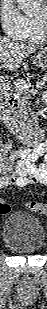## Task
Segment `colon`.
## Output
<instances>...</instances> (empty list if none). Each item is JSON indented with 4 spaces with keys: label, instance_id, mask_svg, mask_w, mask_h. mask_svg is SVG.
I'll use <instances>...</instances> for the list:
<instances>
[{
    "label": "colon",
    "instance_id": "1",
    "mask_svg": "<svg viewBox=\"0 0 47 309\" xmlns=\"http://www.w3.org/2000/svg\"><path fill=\"white\" fill-rule=\"evenodd\" d=\"M28 208L36 213L45 214L47 211V206L43 202L40 201H30L27 204ZM10 211V207L6 203L0 204V214H7Z\"/></svg>",
    "mask_w": 47,
    "mask_h": 309
}]
</instances>
